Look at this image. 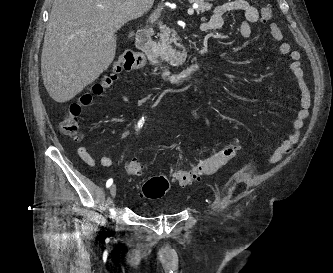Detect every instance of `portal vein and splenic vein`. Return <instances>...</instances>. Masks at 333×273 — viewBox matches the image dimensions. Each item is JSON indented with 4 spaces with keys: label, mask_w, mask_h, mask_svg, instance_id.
<instances>
[{
    "label": "portal vein and splenic vein",
    "mask_w": 333,
    "mask_h": 273,
    "mask_svg": "<svg viewBox=\"0 0 333 273\" xmlns=\"http://www.w3.org/2000/svg\"><path fill=\"white\" fill-rule=\"evenodd\" d=\"M196 8H198V6H197V5H193L192 8H189V9H188V14H189V15H193V13H194V9H196Z\"/></svg>",
    "instance_id": "obj_1"
}]
</instances>
